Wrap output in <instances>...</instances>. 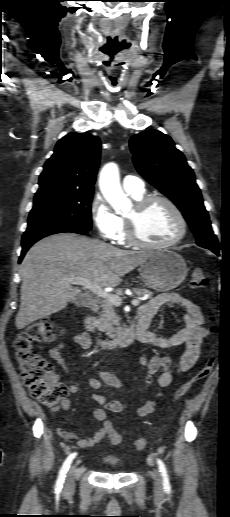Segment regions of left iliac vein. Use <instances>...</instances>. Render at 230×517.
Masks as SVG:
<instances>
[{
	"instance_id": "obj_1",
	"label": "left iliac vein",
	"mask_w": 230,
	"mask_h": 517,
	"mask_svg": "<svg viewBox=\"0 0 230 517\" xmlns=\"http://www.w3.org/2000/svg\"><path fill=\"white\" fill-rule=\"evenodd\" d=\"M152 478L154 481V490L158 496L163 495V482L160 472L157 469H154L152 472Z\"/></svg>"
}]
</instances>
